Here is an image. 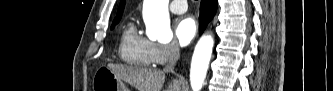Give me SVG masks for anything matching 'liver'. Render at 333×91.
Segmentation results:
<instances>
[{"instance_id": "1", "label": "liver", "mask_w": 333, "mask_h": 91, "mask_svg": "<svg viewBox=\"0 0 333 91\" xmlns=\"http://www.w3.org/2000/svg\"><path fill=\"white\" fill-rule=\"evenodd\" d=\"M107 67L121 80L138 91H161L165 82V73L157 69L108 64ZM180 82L173 80L166 91H180Z\"/></svg>"}]
</instances>
